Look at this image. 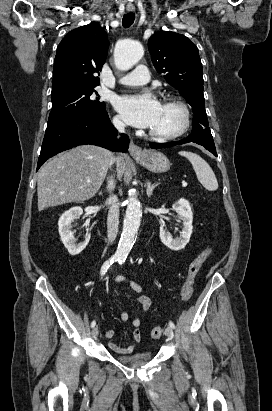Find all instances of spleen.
<instances>
[{
	"label": "spleen",
	"mask_w": 272,
	"mask_h": 411,
	"mask_svg": "<svg viewBox=\"0 0 272 411\" xmlns=\"http://www.w3.org/2000/svg\"><path fill=\"white\" fill-rule=\"evenodd\" d=\"M181 156L186 157L193 166L199 182L208 191H215L218 189V182L215 174L209 164L201 158L198 154L188 151H180Z\"/></svg>",
	"instance_id": "spleen-1"
}]
</instances>
